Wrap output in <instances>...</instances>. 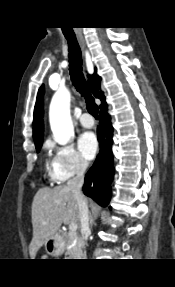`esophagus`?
I'll use <instances>...</instances> for the list:
<instances>
[{"instance_id": "esophagus-1", "label": "esophagus", "mask_w": 175, "mask_h": 287, "mask_svg": "<svg viewBox=\"0 0 175 287\" xmlns=\"http://www.w3.org/2000/svg\"><path fill=\"white\" fill-rule=\"evenodd\" d=\"M78 42H79V44H80V47H81V49H82L83 56H84V55H85V48H86L85 40H84V38L79 37V38H78Z\"/></svg>"}]
</instances>
